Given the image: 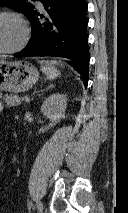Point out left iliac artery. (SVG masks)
Returning a JSON list of instances; mask_svg holds the SVG:
<instances>
[{
    "label": "left iliac artery",
    "mask_w": 128,
    "mask_h": 213,
    "mask_svg": "<svg viewBox=\"0 0 128 213\" xmlns=\"http://www.w3.org/2000/svg\"><path fill=\"white\" fill-rule=\"evenodd\" d=\"M36 205H37L38 211H41L43 209V205L41 202L37 201Z\"/></svg>",
    "instance_id": "44dca946"
}]
</instances>
